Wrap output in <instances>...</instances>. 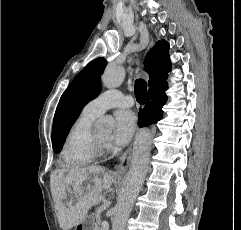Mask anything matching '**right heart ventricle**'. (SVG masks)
<instances>
[{
	"label": "right heart ventricle",
	"instance_id": "right-heart-ventricle-1",
	"mask_svg": "<svg viewBox=\"0 0 241 230\" xmlns=\"http://www.w3.org/2000/svg\"><path fill=\"white\" fill-rule=\"evenodd\" d=\"M97 116L85 110L69 128L61 151V161L66 166H82L96 158L87 148V139Z\"/></svg>",
	"mask_w": 241,
	"mask_h": 230
}]
</instances>
